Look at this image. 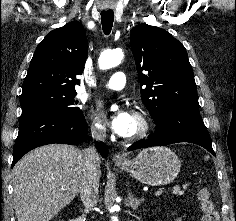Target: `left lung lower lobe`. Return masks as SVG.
Wrapping results in <instances>:
<instances>
[{"instance_id": "obj_1", "label": "left lung lower lobe", "mask_w": 236, "mask_h": 221, "mask_svg": "<svg viewBox=\"0 0 236 221\" xmlns=\"http://www.w3.org/2000/svg\"><path fill=\"white\" fill-rule=\"evenodd\" d=\"M156 125V131L150 139L133 145L128 150L190 142L204 147L215 155L211 138L198 109L174 108L168 110Z\"/></svg>"}]
</instances>
